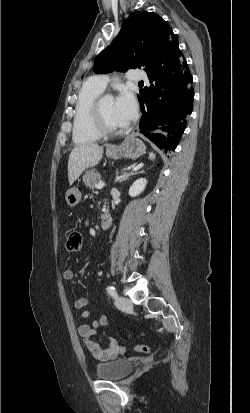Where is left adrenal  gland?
Masks as SVG:
<instances>
[{
  "label": "left adrenal gland",
  "mask_w": 250,
  "mask_h": 413,
  "mask_svg": "<svg viewBox=\"0 0 250 413\" xmlns=\"http://www.w3.org/2000/svg\"><path fill=\"white\" fill-rule=\"evenodd\" d=\"M134 166H135V165L133 164V165L127 167L126 169H124L123 173H122V174L120 175V177H119V183L127 180L129 177H131V176H133V175H135V174H140V173H143V172H144V170L139 171V172H128V170H130V169L133 168Z\"/></svg>",
  "instance_id": "a2214340"
}]
</instances>
